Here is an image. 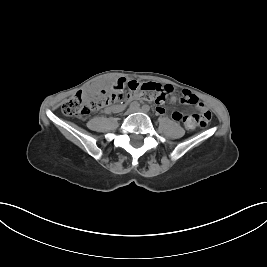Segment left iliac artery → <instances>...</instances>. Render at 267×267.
<instances>
[{"label":"left iliac artery","mask_w":267,"mask_h":267,"mask_svg":"<svg viewBox=\"0 0 267 267\" xmlns=\"http://www.w3.org/2000/svg\"><path fill=\"white\" fill-rule=\"evenodd\" d=\"M142 108H144L145 110L149 111L150 107L148 105H144Z\"/></svg>","instance_id":"obj_1"}]
</instances>
